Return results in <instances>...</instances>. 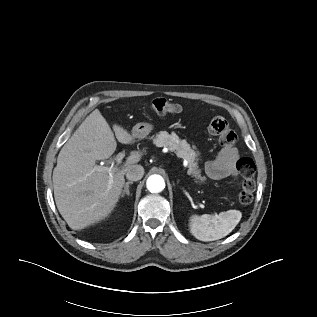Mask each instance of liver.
I'll return each mask as SVG.
<instances>
[{"label": "liver", "mask_w": 317, "mask_h": 317, "mask_svg": "<svg viewBox=\"0 0 317 317\" xmlns=\"http://www.w3.org/2000/svg\"><path fill=\"white\" fill-rule=\"evenodd\" d=\"M117 140L132 144L136 135L114 124ZM117 143L114 134L98 109H95L64 144L53 170L56 206L73 230L105 219L116 207L125 183L126 170L141 160L142 153L132 151L121 169L110 175L99 170L97 160L109 159Z\"/></svg>", "instance_id": "obj_1"}]
</instances>
